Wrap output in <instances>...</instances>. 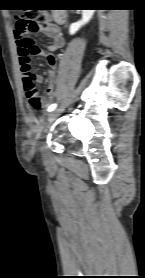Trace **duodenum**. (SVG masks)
I'll use <instances>...</instances> for the list:
<instances>
[{"instance_id":"obj_1","label":"duodenum","mask_w":145,"mask_h":278,"mask_svg":"<svg viewBox=\"0 0 145 278\" xmlns=\"http://www.w3.org/2000/svg\"><path fill=\"white\" fill-rule=\"evenodd\" d=\"M66 20V14L65 12L63 11H60V12H56L54 15H53V21L56 23V24H62L64 23ZM53 91V89L50 91V93Z\"/></svg>"}]
</instances>
